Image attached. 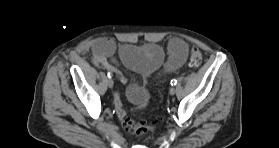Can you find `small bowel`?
Listing matches in <instances>:
<instances>
[{
	"label": "small bowel",
	"instance_id": "1",
	"mask_svg": "<svg viewBox=\"0 0 279 148\" xmlns=\"http://www.w3.org/2000/svg\"><path fill=\"white\" fill-rule=\"evenodd\" d=\"M187 50V45L183 40L172 38L168 43L169 55L165 60L164 51L157 45L150 44L142 48L124 45L117 49L113 40L100 38L93 44V62L96 66L111 71L121 83H127V77L116 66L115 54L117 53L123 64L139 73L146 84L151 75L161 67L164 72L170 73L183 66L187 59ZM126 94L128 99L139 107L146 104L149 96L145 85L135 82L128 85ZM114 103L117 116L123 119L126 111L117 94L114 97Z\"/></svg>",
	"mask_w": 279,
	"mask_h": 148
}]
</instances>
